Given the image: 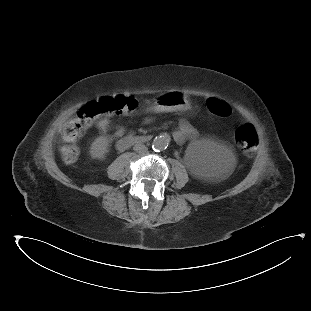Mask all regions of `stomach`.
I'll return each mask as SVG.
<instances>
[{"mask_svg": "<svg viewBox=\"0 0 311 311\" xmlns=\"http://www.w3.org/2000/svg\"><path fill=\"white\" fill-rule=\"evenodd\" d=\"M186 102L187 101L180 94L168 97L164 93H157L149 101L152 107L156 108L157 110H177L183 108Z\"/></svg>", "mask_w": 311, "mask_h": 311, "instance_id": "obj_1", "label": "stomach"}]
</instances>
